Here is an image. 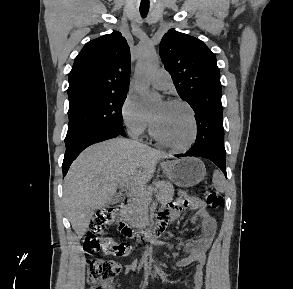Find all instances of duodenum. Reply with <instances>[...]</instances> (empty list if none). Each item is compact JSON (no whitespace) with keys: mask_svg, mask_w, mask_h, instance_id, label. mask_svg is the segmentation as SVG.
<instances>
[{"mask_svg":"<svg viewBox=\"0 0 293 289\" xmlns=\"http://www.w3.org/2000/svg\"><path fill=\"white\" fill-rule=\"evenodd\" d=\"M130 200L129 197L125 196L121 203L119 204V213H120V218L118 220V229L122 234H124L127 237H131L134 235L135 231L134 229L129 225L127 222L124 214L129 208ZM165 222L162 220H158L156 224H154L151 227H147L143 229L139 233V239L141 241H146V242H153L162 232L164 228Z\"/></svg>","mask_w":293,"mask_h":289,"instance_id":"1","label":"duodenum"}]
</instances>
